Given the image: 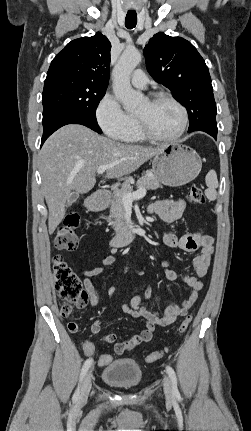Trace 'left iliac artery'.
<instances>
[{
	"label": "left iliac artery",
	"instance_id": "44dca946",
	"mask_svg": "<svg viewBox=\"0 0 251 431\" xmlns=\"http://www.w3.org/2000/svg\"><path fill=\"white\" fill-rule=\"evenodd\" d=\"M166 370L171 380L173 395L176 397H180V393L177 387V377H176L175 371L170 366H167Z\"/></svg>",
	"mask_w": 251,
	"mask_h": 431
}]
</instances>
